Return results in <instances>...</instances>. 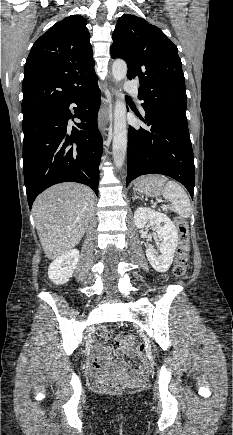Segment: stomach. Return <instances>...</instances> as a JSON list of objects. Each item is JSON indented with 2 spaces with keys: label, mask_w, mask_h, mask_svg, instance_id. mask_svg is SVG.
<instances>
[{
  "label": "stomach",
  "mask_w": 233,
  "mask_h": 435,
  "mask_svg": "<svg viewBox=\"0 0 233 435\" xmlns=\"http://www.w3.org/2000/svg\"><path fill=\"white\" fill-rule=\"evenodd\" d=\"M164 178L158 175H149L140 178L135 183L138 192L151 197H158L164 192Z\"/></svg>",
  "instance_id": "obj_1"
}]
</instances>
